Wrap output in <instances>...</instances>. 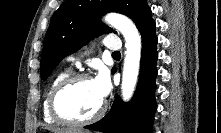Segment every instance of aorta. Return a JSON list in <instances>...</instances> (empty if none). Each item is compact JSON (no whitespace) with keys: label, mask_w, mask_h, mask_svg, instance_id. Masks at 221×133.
Returning <instances> with one entry per match:
<instances>
[{"label":"aorta","mask_w":221,"mask_h":133,"mask_svg":"<svg viewBox=\"0 0 221 133\" xmlns=\"http://www.w3.org/2000/svg\"><path fill=\"white\" fill-rule=\"evenodd\" d=\"M104 20L120 31L126 41L121 93L123 100L129 101L134 93L139 74L141 37L135 24L124 15L110 13L105 16Z\"/></svg>","instance_id":"1"}]
</instances>
